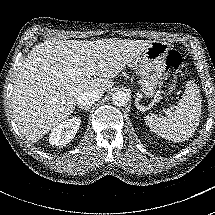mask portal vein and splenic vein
I'll return each instance as SVG.
<instances>
[{"label":"portal vein and splenic vein","mask_w":215,"mask_h":215,"mask_svg":"<svg viewBox=\"0 0 215 215\" xmlns=\"http://www.w3.org/2000/svg\"><path fill=\"white\" fill-rule=\"evenodd\" d=\"M89 70H90L91 73H93V74L95 73V70H94V69H91V68H90Z\"/></svg>","instance_id":"1"}]
</instances>
